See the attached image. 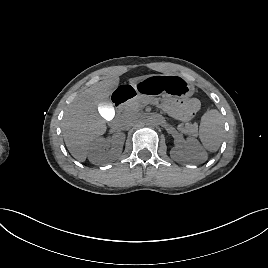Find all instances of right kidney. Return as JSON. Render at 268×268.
<instances>
[{
    "label": "right kidney",
    "instance_id": "obj_1",
    "mask_svg": "<svg viewBox=\"0 0 268 268\" xmlns=\"http://www.w3.org/2000/svg\"><path fill=\"white\" fill-rule=\"evenodd\" d=\"M125 135L114 134L111 138L99 137L95 139L89 148L88 159L97 165H107L114 162L122 153Z\"/></svg>",
    "mask_w": 268,
    "mask_h": 268
}]
</instances>
